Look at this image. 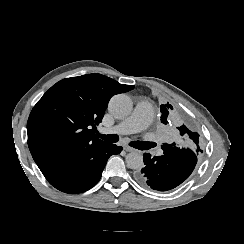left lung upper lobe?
I'll return each instance as SVG.
<instances>
[{
  "mask_svg": "<svg viewBox=\"0 0 244 244\" xmlns=\"http://www.w3.org/2000/svg\"><path fill=\"white\" fill-rule=\"evenodd\" d=\"M173 109L172 105L167 103L160 106L161 111V121L164 124L168 123V116ZM181 136H184L186 139V142L190 145V147L184 146L182 142H180L178 145L176 143L167 144L164 143L163 145L166 146H178V147H185L190 148L192 150H195L196 152H201L200 146H199V134L192 129H188L186 126L182 125L178 127Z\"/></svg>",
  "mask_w": 244,
  "mask_h": 244,
  "instance_id": "obj_1",
  "label": "left lung upper lobe"
}]
</instances>
